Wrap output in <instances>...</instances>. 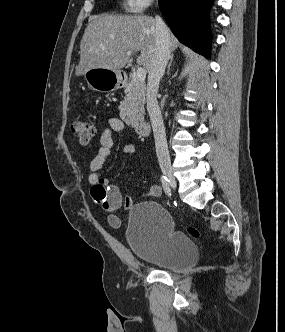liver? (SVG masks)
<instances>
[{
	"label": "liver",
	"mask_w": 285,
	"mask_h": 332,
	"mask_svg": "<svg viewBox=\"0 0 285 332\" xmlns=\"http://www.w3.org/2000/svg\"><path fill=\"white\" fill-rule=\"evenodd\" d=\"M170 50L178 41L169 31ZM156 48L155 19L149 16L102 15L94 17L80 43V62L76 75L92 68L120 70L133 53L140 51L137 64L149 72ZM132 52L128 55L127 52Z\"/></svg>",
	"instance_id": "1"
}]
</instances>
